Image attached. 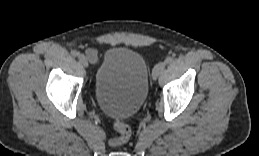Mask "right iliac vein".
Instances as JSON below:
<instances>
[{"instance_id":"1","label":"right iliac vein","mask_w":259,"mask_h":156,"mask_svg":"<svg viewBox=\"0 0 259 156\" xmlns=\"http://www.w3.org/2000/svg\"><path fill=\"white\" fill-rule=\"evenodd\" d=\"M78 59L84 67H88V60L84 54H79Z\"/></svg>"}]
</instances>
